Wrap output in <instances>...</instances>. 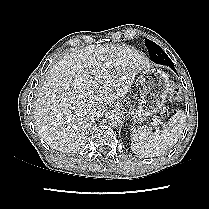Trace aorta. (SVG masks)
Masks as SVG:
<instances>
[{"instance_id":"obj_1","label":"aorta","mask_w":209,"mask_h":209,"mask_svg":"<svg viewBox=\"0 0 209 209\" xmlns=\"http://www.w3.org/2000/svg\"><path fill=\"white\" fill-rule=\"evenodd\" d=\"M106 121L110 126L116 127L122 123V116L119 112H111L106 115Z\"/></svg>"}]
</instances>
